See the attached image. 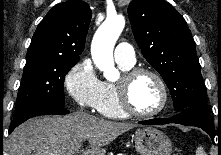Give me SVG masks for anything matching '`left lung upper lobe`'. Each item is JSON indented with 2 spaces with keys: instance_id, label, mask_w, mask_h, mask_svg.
Returning a JSON list of instances; mask_svg holds the SVG:
<instances>
[{
  "instance_id": "obj_1",
  "label": "left lung upper lobe",
  "mask_w": 221,
  "mask_h": 155,
  "mask_svg": "<svg viewBox=\"0 0 221 155\" xmlns=\"http://www.w3.org/2000/svg\"><path fill=\"white\" fill-rule=\"evenodd\" d=\"M128 15L142 54L170 89L174 109L207 103L195 42L184 18L165 0H133Z\"/></svg>"
}]
</instances>
